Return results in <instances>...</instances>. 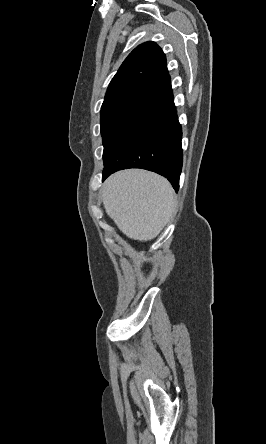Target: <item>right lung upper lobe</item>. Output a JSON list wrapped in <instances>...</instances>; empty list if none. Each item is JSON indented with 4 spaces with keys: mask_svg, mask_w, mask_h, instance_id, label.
<instances>
[{
    "mask_svg": "<svg viewBox=\"0 0 266 444\" xmlns=\"http://www.w3.org/2000/svg\"><path fill=\"white\" fill-rule=\"evenodd\" d=\"M156 97L167 105L173 102L166 57L155 42L137 46L111 80L103 104L126 96Z\"/></svg>",
    "mask_w": 266,
    "mask_h": 444,
    "instance_id": "obj_1",
    "label": "right lung upper lobe"
}]
</instances>
